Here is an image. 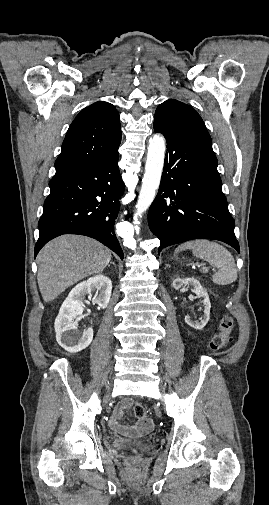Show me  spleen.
Instances as JSON below:
<instances>
[{"label": "spleen", "mask_w": 269, "mask_h": 505, "mask_svg": "<svg viewBox=\"0 0 269 505\" xmlns=\"http://www.w3.org/2000/svg\"><path fill=\"white\" fill-rule=\"evenodd\" d=\"M191 250L195 257L210 263L218 270L213 274V282L218 285H228L237 280V268L233 255L222 245L207 239H196L180 244L174 254Z\"/></svg>", "instance_id": "spleen-1"}]
</instances>
